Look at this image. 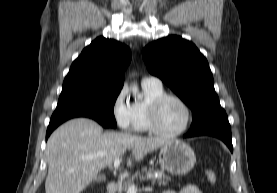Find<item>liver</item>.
I'll return each mask as SVG.
<instances>
[{"label": "liver", "mask_w": 277, "mask_h": 193, "mask_svg": "<svg viewBox=\"0 0 277 193\" xmlns=\"http://www.w3.org/2000/svg\"><path fill=\"white\" fill-rule=\"evenodd\" d=\"M169 140L146 138L123 132H103L93 120L77 118L57 128L46 147L48 175L46 193H81L100 170L131 151L127 166L138 162Z\"/></svg>", "instance_id": "liver-1"}]
</instances>
